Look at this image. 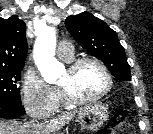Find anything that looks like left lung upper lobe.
Masks as SVG:
<instances>
[{"label":"left lung upper lobe","mask_w":153,"mask_h":134,"mask_svg":"<svg viewBox=\"0 0 153 134\" xmlns=\"http://www.w3.org/2000/svg\"><path fill=\"white\" fill-rule=\"evenodd\" d=\"M65 25L73 38L89 53L103 61L121 81H130V67L118 36L104 21L89 12L69 16Z\"/></svg>","instance_id":"1"}]
</instances>
